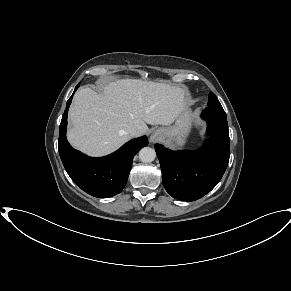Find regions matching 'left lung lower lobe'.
I'll use <instances>...</instances> for the list:
<instances>
[{"label": "left lung lower lobe", "mask_w": 291, "mask_h": 291, "mask_svg": "<svg viewBox=\"0 0 291 291\" xmlns=\"http://www.w3.org/2000/svg\"><path fill=\"white\" fill-rule=\"evenodd\" d=\"M205 145L197 151H172L156 144L163 185L175 199L195 201L210 192L221 180L230 157V139L224 109L206 108Z\"/></svg>", "instance_id": "left-lung-lower-lobe-1"}]
</instances>
